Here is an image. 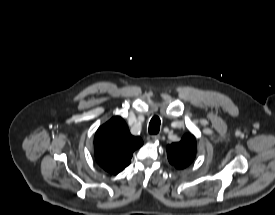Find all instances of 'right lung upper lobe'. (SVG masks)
Wrapping results in <instances>:
<instances>
[{
    "instance_id": "1",
    "label": "right lung upper lobe",
    "mask_w": 275,
    "mask_h": 215,
    "mask_svg": "<svg viewBox=\"0 0 275 215\" xmlns=\"http://www.w3.org/2000/svg\"><path fill=\"white\" fill-rule=\"evenodd\" d=\"M142 145V139L132 136L125 121L115 116L95 134L96 161L107 172L118 174L131 163L133 152Z\"/></svg>"
}]
</instances>
